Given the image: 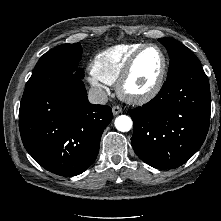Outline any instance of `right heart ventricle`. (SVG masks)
Here are the masks:
<instances>
[{
  "instance_id": "1",
  "label": "right heart ventricle",
  "mask_w": 221,
  "mask_h": 221,
  "mask_svg": "<svg viewBox=\"0 0 221 221\" xmlns=\"http://www.w3.org/2000/svg\"><path fill=\"white\" fill-rule=\"evenodd\" d=\"M143 45L120 44L98 53L91 63L92 75L103 83H115L131 55Z\"/></svg>"
}]
</instances>
